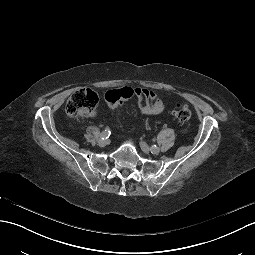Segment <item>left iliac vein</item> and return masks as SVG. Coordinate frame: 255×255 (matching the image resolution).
I'll use <instances>...</instances> for the list:
<instances>
[{
    "mask_svg": "<svg viewBox=\"0 0 255 255\" xmlns=\"http://www.w3.org/2000/svg\"><path fill=\"white\" fill-rule=\"evenodd\" d=\"M140 147H141L142 151H143L144 153H146V154H148L150 151H151V153H153V154H159V152H160V149H159V148L150 149L149 146L147 145V143L144 142V141H141V142H140Z\"/></svg>",
    "mask_w": 255,
    "mask_h": 255,
    "instance_id": "4c4485c4",
    "label": "left iliac vein"
}]
</instances>
